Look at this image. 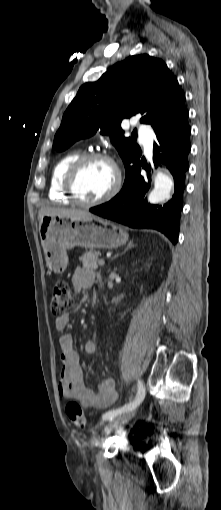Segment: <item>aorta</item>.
<instances>
[{"instance_id": "obj_1", "label": "aorta", "mask_w": 221, "mask_h": 510, "mask_svg": "<svg viewBox=\"0 0 221 510\" xmlns=\"http://www.w3.org/2000/svg\"><path fill=\"white\" fill-rule=\"evenodd\" d=\"M172 186V178L166 173L158 172L154 179V189L149 194L148 201L152 204H157L168 199Z\"/></svg>"}]
</instances>
